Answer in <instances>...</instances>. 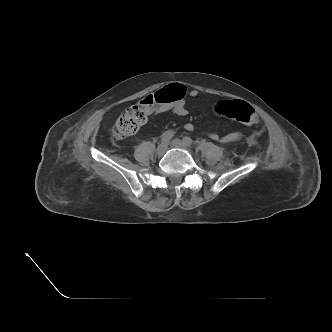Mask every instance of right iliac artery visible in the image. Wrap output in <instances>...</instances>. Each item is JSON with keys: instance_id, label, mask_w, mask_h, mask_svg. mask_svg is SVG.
<instances>
[{"instance_id": "obj_1", "label": "right iliac artery", "mask_w": 332, "mask_h": 332, "mask_svg": "<svg viewBox=\"0 0 332 332\" xmlns=\"http://www.w3.org/2000/svg\"><path fill=\"white\" fill-rule=\"evenodd\" d=\"M173 136H174V131L173 130H168V131H166L162 134L161 141L162 142H168Z\"/></svg>"}]
</instances>
